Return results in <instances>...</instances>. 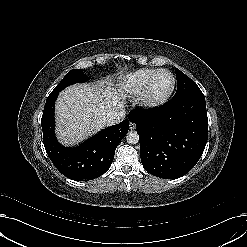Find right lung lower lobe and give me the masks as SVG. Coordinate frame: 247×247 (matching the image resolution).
<instances>
[{"mask_svg":"<svg viewBox=\"0 0 247 247\" xmlns=\"http://www.w3.org/2000/svg\"><path fill=\"white\" fill-rule=\"evenodd\" d=\"M59 93H50L44 107L41 126L46 152L54 166L75 181H88L103 175L111 166L116 147L129 129V121L105 128L77 147L60 145L54 133V103Z\"/></svg>","mask_w":247,"mask_h":247,"instance_id":"obj_1","label":"right lung lower lobe"}]
</instances>
